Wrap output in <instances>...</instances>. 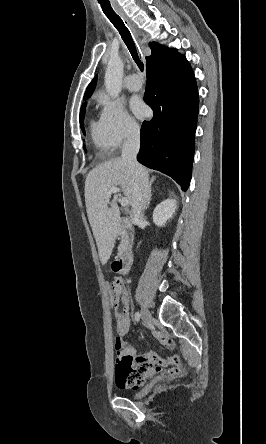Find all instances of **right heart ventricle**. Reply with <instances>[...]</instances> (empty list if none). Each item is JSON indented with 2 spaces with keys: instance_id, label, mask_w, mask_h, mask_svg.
Wrapping results in <instances>:
<instances>
[{
  "instance_id": "right-heart-ventricle-1",
  "label": "right heart ventricle",
  "mask_w": 266,
  "mask_h": 444,
  "mask_svg": "<svg viewBox=\"0 0 266 444\" xmlns=\"http://www.w3.org/2000/svg\"><path fill=\"white\" fill-rule=\"evenodd\" d=\"M90 135L96 149L104 156L111 152V146L104 134L100 121L92 120L90 123Z\"/></svg>"
}]
</instances>
